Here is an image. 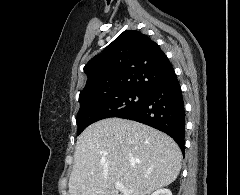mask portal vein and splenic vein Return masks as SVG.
I'll return each instance as SVG.
<instances>
[{
  "instance_id": "18ae733b",
  "label": "portal vein and splenic vein",
  "mask_w": 240,
  "mask_h": 195,
  "mask_svg": "<svg viewBox=\"0 0 240 195\" xmlns=\"http://www.w3.org/2000/svg\"><path fill=\"white\" fill-rule=\"evenodd\" d=\"M116 189H120V191H125V193H132V189H125L123 183L121 181H115L114 183Z\"/></svg>"
}]
</instances>
